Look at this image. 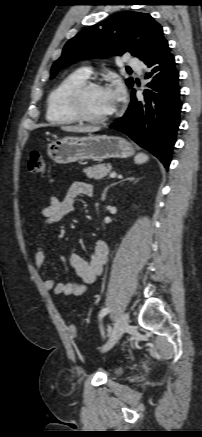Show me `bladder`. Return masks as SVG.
<instances>
[{"label": "bladder", "instance_id": "1", "mask_svg": "<svg viewBox=\"0 0 202 437\" xmlns=\"http://www.w3.org/2000/svg\"><path fill=\"white\" fill-rule=\"evenodd\" d=\"M114 372H115V374H120L122 372V368L118 367V368L115 369Z\"/></svg>", "mask_w": 202, "mask_h": 437}]
</instances>
